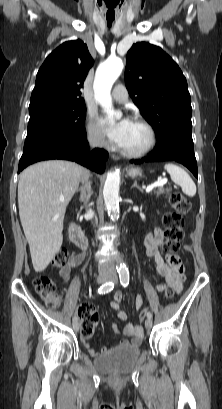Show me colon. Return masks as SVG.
<instances>
[{
  "mask_svg": "<svg viewBox=\"0 0 222 409\" xmlns=\"http://www.w3.org/2000/svg\"><path fill=\"white\" fill-rule=\"evenodd\" d=\"M167 197L170 205L173 208L172 212H168L164 215L163 223L165 227V242L164 250L168 256H176L175 253L179 249L180 243L184 237L182 229L184 217L190 210V203L187 198L180 192L173 191L168 192ZM67 262L66 250L58 251L53 260L52 266L54 268H62ZM34 287L37 293L42 297L46 304L52 308H56L60 304V296L56 291L55 282L47 275H39L34 279ZM173 289H168L165 292V298H171L174 295ZM149 306L141 312L139 319L148 317ZM78 316L81 320V337L85 340L90 339L98 324V314L95 309L88 305L83 304L78 308Z\"/></svg>",
  "mask_w": 222,
  "mask_h": 409,
  "instance_id": "1",
  "label": "colon"
}]
</instances>
